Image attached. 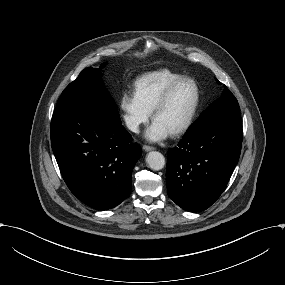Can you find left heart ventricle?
Returning a JSON list of instances; mask_svg holds the SVG:
<instances>
[{
    "mask_svg": "<svg viewBox=\"0 0 285 285\" xmlns=\"http://www.w3.org/2000/svg\"><path fill=\"white\" fill-rule=\"evenodd\" d=\"M196 95L194 84L184 82L176 88L168 103L156 113L154 119L171 132L188 118L195 104Z\"/></svg>",
    "mask_w": 285,
    "mask_h": 285,
    "instance_id": "b2bd125f",
    "label": "left heart ventricle"
}]
</instances>
